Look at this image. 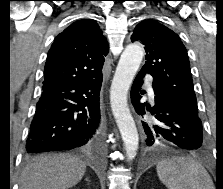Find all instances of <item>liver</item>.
I'll list each match as a JSON object with an SVG mask.
<instances>
[{
	"mask_svg": "<svg viewBox=\"0 0 223 189\" xmlns=\"http://www.w3.org/2000/svg\"><path fill=\"white\" fill-rule=\"evenodd\" d=\"M86 164L67 154L39 156L21 173L19 189H67L84 176Z\"/></svg>",
	"mask_w": 223,
	"mask_h": 189,
	"instance_id": "liver-1",
	"label": "liver"
}]
</instances>
